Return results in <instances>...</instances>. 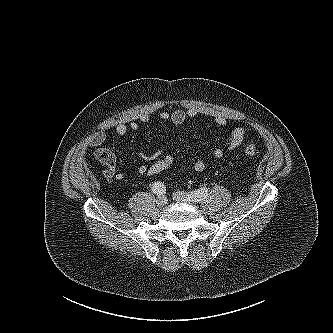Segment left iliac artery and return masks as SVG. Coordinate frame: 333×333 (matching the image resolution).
<instances>
[{"label": "left iliac artery", "mask_w": 333, "mask_h": 333, "mask_svg": "<svg viewBox=\"0 0 333 333\" xmlns=\"http://www.w3.org/2000/svg\"><path fill=\"white\" fill-rule=\"evenodd\" d=\"M208 188L203 187L190 193L195 202L204 200L208 196Z\"/></svg>", "instance_id": "44dca946"}]
</instances>
